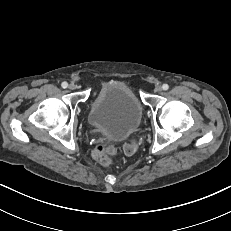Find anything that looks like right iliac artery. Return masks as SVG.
<instances>
[{
  "mask_svg": "<svg viewBox=\"0 0 231 231\" xmlns=\"http://www.w3.org/2000/svg\"><path fill=\"white\" fill-rule=\"evenodd\" d=\"M61 86H62V88H67L68 83L67 82H62Z\"/></svg>",
  "mask_w": 231,
  "mask_h": 231,
  "instance_id": "1",
  "label": "right iliac artery"
}]
</instances>
